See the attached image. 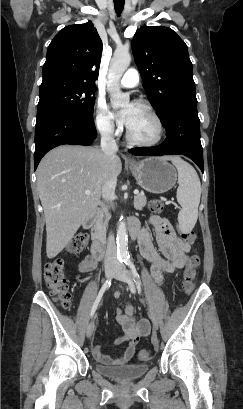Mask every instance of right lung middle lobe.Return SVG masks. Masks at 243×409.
<instances>
[{
  "label": "right lung middle lobe",
  "instance_id": "dd1d6c3e",
  "mask_svg": "<svg viewBox=\"0 0 243 409\" xmlns=\"http://www.w3.org/2000/svg\"><path fill=\"white\" fill-rule=\"evenodd\" d=\"M95 87L62 78L42 81L37 118L50 113H62L93 118Z\"/></svg>",
  "mask_w": 243,
  "mask_h": 409
}]
</instances>
